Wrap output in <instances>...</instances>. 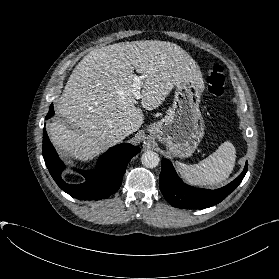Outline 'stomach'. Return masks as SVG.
Wrapping results in <instances>:
<instances>
[{
  "label": "stomach",
  "instance_id": "stomach-1",
  "mask_svg": "<svg viewBox=\"0 0 279 279\" xmlns=\"http://www.w3.org/2000/svg\"><path fill=\"white\" fill-rule=\"evenodd\" d=\"M200 99L201 92L197 84L181 80L175 87L171 108L164 118L149 127L150 135L165 144L175 157L191 156L204 136Z\"/></svg>",
  "mask_w": 279,
  "mask_h": 279
}]
</instances>
